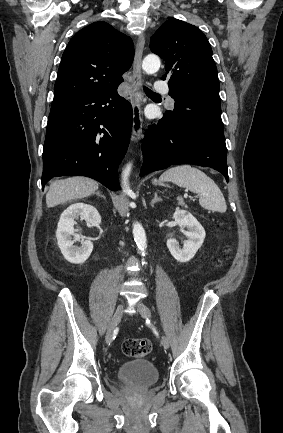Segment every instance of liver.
I'll return each instance as SVG.
<instances>
[{
    "label": "liver",
    "mask_w": 283,
    "mask_h": 433,
    "mask_svg": "<svg viewBox=\"0 0 283 433\" xmlns=\"http://www.w3.org/2000/svg\"><path fill=\"white\" fill-rule=\"evenodd\" d=\"M98 188V182L86 176H72V178H64V180H55L49 186L46 194L47 206H56L67 200H76V198H84L90 196Z\"/></svg>",
    "instance_id": "liver-1"
}]
</instances>
